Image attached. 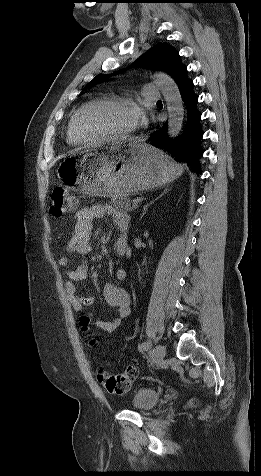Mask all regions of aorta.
I'll return each instance as SVG.
<instances>
[{"label": "aorta", "mask_w": 261, "mask_h": 476, "mask_svg": "<svg viewBox=\"0 0 261 476\" xmlns=\"http://www.w3.org/2000/svg\"><path fill=\"white\" fill-rule=\"evenodd\" d=\"M154 83L161 90L168 111V135L177 137L183 123L184 109L182 97L175 81L167 74L158 72L154 76Z\"/></svg>", "instance_id": "aorta-1"}]
</instances>
